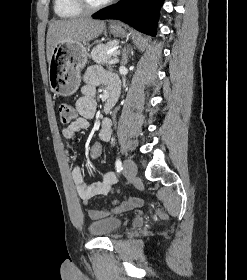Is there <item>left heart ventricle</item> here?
I'll list each match as a JSON object with an SVG mask.
<instances>
[{
  "label": "left heart ventricle",
  "mask_w": 247,
  "mask_h": 280,
  "mask_svg": "<svg viewBox=\"0 0 247 280\" xmlns=\"http://www.w3.org/2000/svg\"><path fill=\"white\" fill-rule=\"evenodd\" d=\"M89 1L92 2V3L97 4V3L103 2L105 0H89Z\"/></svg>",
  "instance_id": "left-heart-ventricle-1"
}]
</instances>
